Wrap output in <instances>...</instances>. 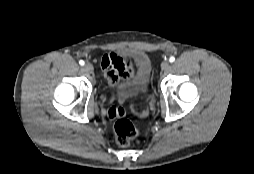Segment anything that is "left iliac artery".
Segmentation results:
<instances>
[{
    "label": "left iliac artery",
    "instance_id": "left-iliac-artery-1",
    "mask_svg": "<svg viewBox=\"0 0 254 174\" xmlns=\"http://www.w3.org/2000/svg\"><path fill=\"white\" fill-rule=\"evenodd\" d=\"M169 61H170L171 63L174 62V61H175V57H174V56H171L170 59H169Z\"/></svg>",
    "mask_w": 254,
    "mask_h": 174
}]
</instances>
